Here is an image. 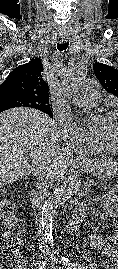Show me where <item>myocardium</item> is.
Listing matches in <instances>:
<instances>
[{"instance_id": "obj_1", "label": "myocardium", "mask_w": 118, "mask_h": 269, "mask_svg": "<svg viewBox=\"0 0 118 269\" xmlns=\"http://www.w3.org/2000/svg\"><path fill=\"white\" fill-rule=\"evenodd\" d=\"M118 114V107H112L102 116L105 118H110ZM95 143L96 144H103L106 147L110 148L111 150L118 153V142L112 141L109 138L102 137V136H95Z\"/></svg>"}]
</instances>
